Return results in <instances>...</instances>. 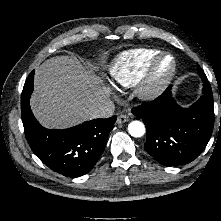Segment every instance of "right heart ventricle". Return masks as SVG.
Returning a JSON list of instances; mask_svg holds the SVG:
<instances>
[{
    "instance_id": "e07e8e85",
    "label": "right heart ventricle",
    "mask_w": 221,
    "mask_h": 221,
    "mask_svg": "<svg viewBox=\"0 0 221 221\" xmlns=\"http://www.w3.org/2000/svg\"><path fill=\"white\" fill-rule=\"evenodd\" d=\"M160 53L157 49L137 48L117 55L108 67L113 82L121 87L129 88L137 84L146 68Z\"/></svg>"
}]
</instances>
